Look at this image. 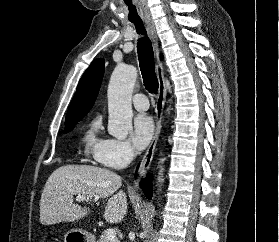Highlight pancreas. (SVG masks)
<instances>
[{
	"instance_id": "cf45deb5",
	"label": "pancreas",
	"mask_w": 279,
	"mask_h": 242,
	"mask_svg": "<svg viewBox=\"0 0 279 242\" xmlns=\"http://www.w3.org/2000/svg\"><path fill=\"white\" fill-rule=\"evenodd\" d=\"M97 242H120L118 238H115L113 241L108 240L106 234L100 236Z\"/></svg>"
}]
</instances>
